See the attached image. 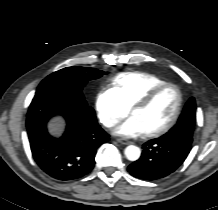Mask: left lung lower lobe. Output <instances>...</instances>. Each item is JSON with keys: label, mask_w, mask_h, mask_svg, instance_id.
Returning a JSON list of instances; mask_svg holds the SVG:
<instances>
[{"label": "left lung lower lobe", "mask_w": 218, "mask_h": 210, "mask_svg": "<svg viewBox=\"0 0 218 210\" xmlns=\"http://www.w3.org/2000/svg\"><path fill=\"white\" fill-rule=\"evenodd\" d=\"M192 147L187 130L176 138L161 136L143 144L141 157L128 167L134 177L156 180L174 172L186 159Z\"/></svg>", "instance_id": "left-lung-lower-lobe-1"}]
</instances>
